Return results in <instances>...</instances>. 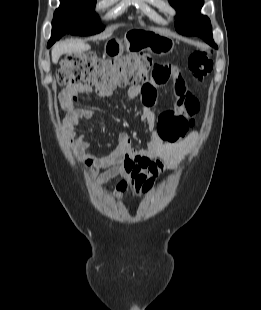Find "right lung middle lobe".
Listing matches in <instances>:
<instances>
[{"label": "right lung middle lobe", "mask_w": 261, "mask_h": 310, "mask_svg": "<svg viewBox=\"0 0 261 310\" xmlns=\"http://www.w3.org/2000/svg\"><path fill=\"white\" fill-rule=\"evenodd\" d=\"M60 2L52 21V37L59 35L61 38L66 33L93 35L104 29V26L98 24V16L94 13L96 0H60Z\"/></svg>", "instance_id": "1"}]
</instances>
